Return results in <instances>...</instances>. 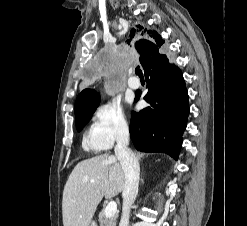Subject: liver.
Instances as JSON below:
<instances>
[{"label":"liver","instance_id":"obj_1","mask_svg":"<svg viewBox=\"0 0 247 226\" xmlns=\"http://www.w3.org/2000/svg\"><path fill=\"white\" fill-rule=\"evenodd\" d=\"M124 185L125 174L117 157L104 154L79 162L64 187L63 225L89 226L103 197H115Z\"/></svg>","mask_w":247,"mask_h":226}]
</instances>
